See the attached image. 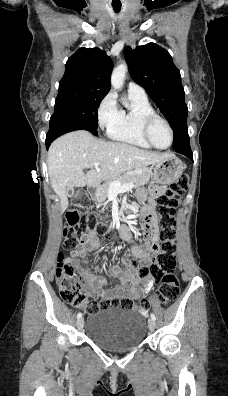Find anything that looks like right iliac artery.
Segmentation results:
<instances>
[{
  "label": "right iliac artery",
  "mask_w": 228,
  "mask_h": 396,
  "mask_svg": "<svg viewBox=\"0 0 228 396\" xmlns=\"http://www.w3.org/2000/svg\"><path fill=\"white\" fill-rule=\"evenodd\" d=\"M82 317V313L77 314V319H80Z\"/></svg>",
  "instance_id": "1"
}]
</instances>
